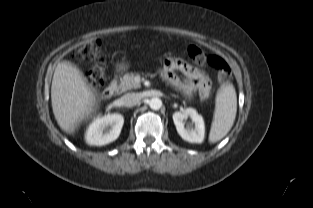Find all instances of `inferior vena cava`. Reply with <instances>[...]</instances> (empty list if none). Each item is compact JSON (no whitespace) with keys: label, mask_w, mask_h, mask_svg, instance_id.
Here are the masks:
<instances>
[{"label":"inferior vena cava","mask_w":313,"mask_h":208,"mask_svg":"<svg viewBox=\"0 0 313 208\" xmlns=\"http://www.w3.org/2000/svg\"><path fill=\"white\" fill-rule=\"evenodd\" d=\"M140 101L138 94L127 93L121 97L122 105L125 107H133L137 105Z\"/></svg>","instance_id":"obj_1"}]
</instances>
